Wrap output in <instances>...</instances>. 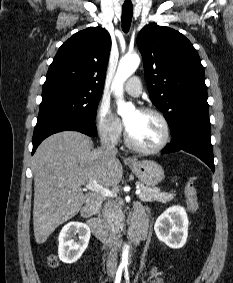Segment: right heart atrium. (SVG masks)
Instances as JSON below:
<instances>
[{
	"label": "right heart atrium",
	"instance_id": "1",
	"mask_svg": "<svg viewBox=\"0 0 233 283\" xmlns=\"http://www.w3.org/2000/svg\"><path fill=\"white\" fill-rule=\"evenodd\" d=\"M96 127L102 139L117 143L122 135V123L111 111L108 104L102 102L96 112Z\"/></svg>",
	"mask_w": 233,
	"mask_h": 283
}]
</instances>
